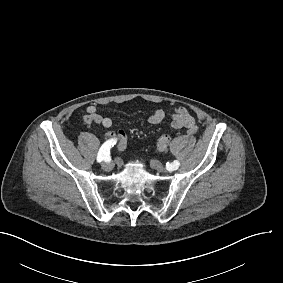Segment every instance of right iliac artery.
<instances>
[{"label": "right iliac artery", "instance_id": "right-iliac-artery-1", "mask_svg": "<svg viewBox=\"0 0 283 283\" xmlns=\"http://www.w3.org/2000/svg\"><path fill=\"white\" fill-rule=\"evenodd\" d=\"M116 144V139L106 141L100 148L97 156V162L107 160L110 155V149Z\"/></svg>", "mask_w": 283, "mask_h": 283}]
</instances>
